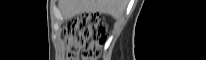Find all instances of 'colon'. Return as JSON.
I'll return each mask as SVG.
<instances>
[{
  "label": "colon",
  "instance_id": "obj_1",
  "mask_svg": "<svg viewBox=\"0 0 206 60\" xmlns=\"http://www.w3.org/2000/svg\"><path fill=\"white\" fill-rule=\"evenodd\" d=\"M64 36L67 60H97L106 40L105 28L94 13L69 20Z\"/></svg>",
  "mask_w": 206,
  "mask_h": 60
}]
</instances>
